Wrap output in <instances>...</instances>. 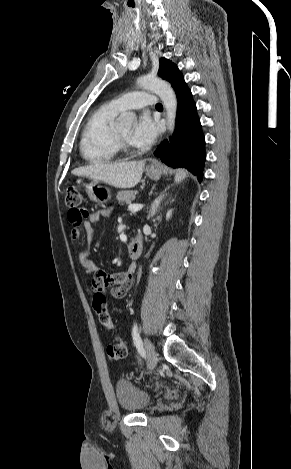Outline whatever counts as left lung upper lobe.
I'll use <instances>...</instances> for the list:
<instances>
[{
	"label": "left lung upper lobe",
	"mask_w": 291,
	"mask_h": 469,
	"mask_svg": "<svg viewBox=\"0 0 291 469\" xmlns=\"http://www.w3.org/2000/svg\"><path fill=\"white\" fill-rule=\"evenodd\" d=\"M158 75L173 85L182 73L179 72L178 67L174 63L165 58H161Z\"/></svg>",
	"instance_id": "obj_1"
}]
</instances>
